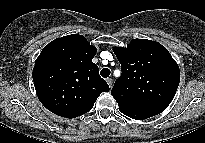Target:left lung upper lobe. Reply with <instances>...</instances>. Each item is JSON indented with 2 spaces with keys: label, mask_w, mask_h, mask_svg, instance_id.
<instances>
[{
  "label": "left lung upper lobe",
  "mask_w": 205,
  "mask_h": 143,
  "mask_svg": "<svg viewBox=\"0 0 205 143\" xmlns=\"http://www.w3.org/2000/svg\"><path fill=\"white\" fill-rule=\"evenodd\" d=\"M113 51L122 70L111 90L119 109L167 108L180 82L179 67L168 50L155 41L133 39L127 48Z\"/></svg>",
  "instance_id": "obj_1"
}]
</instances>
